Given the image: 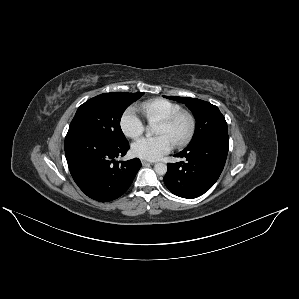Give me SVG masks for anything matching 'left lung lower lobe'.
Segmentation results:
<instances>
[{
	"mask_svg": "<svg viewBox=\"0 0 299 299\" xmlns=\"http://www.w3.org/2000/svg\"><path fill=\"white\" fill-rule=\"evenodd\" d=\"M228 147V134L216 135L174 155L184 158L185 162L167 164L168 171L164 177L166 187L179 197L201 196L219 178Z\"/></svg>",
	"mask_w": 299,
	"mask_h": 299,
	"instance_id": "obj_1",
	"label": "left lung lower lobe"
}]
</instances>
